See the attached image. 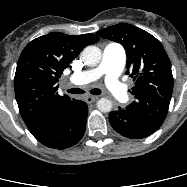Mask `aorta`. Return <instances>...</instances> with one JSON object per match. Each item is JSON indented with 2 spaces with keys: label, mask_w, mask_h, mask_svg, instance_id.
I'll list each match as a JSON object with an SVG mask.
<instances>
[{
  "label": "aorta",
  "mask_w": 187,
  "mask_h": 187,
  "mask_svg": "<svg viewBox=\"0 0 187 187\" xmlns=\"http://www.w3.org/2000/svg\"><path fill=\"white\" fill-rule=\"evenodd\" d=\"M102 57L101 50L93 45L87 46L82 51V59L85 65L93 67L100 63ZM97 108L101 112H110L112 109V102L107 98H101L97 102Z\"/></svg>",
  "instance_id": "762f6f07"
}]
</instances>
